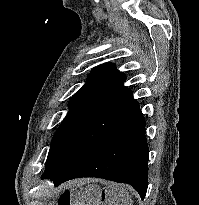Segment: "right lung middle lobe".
Here are the masks:
<instances>
[{
	"instance_id": "dd1d6c3e",
	"label": "right lung middle lobe",
	"mask_w": 199,
	"mask_h": 205,
	"mask_svg": "<svg viewBox=\"0 0 199 205\" xmlns=\"http://www.w3.org/2000/svg\"><path fill=\"white\" fill-rule=\"evenodd\" d=\"M123 122L96 111H69L52 139L43 176L59 172L83 152L102 142Z\"/></svg>"
}]
</instances>
